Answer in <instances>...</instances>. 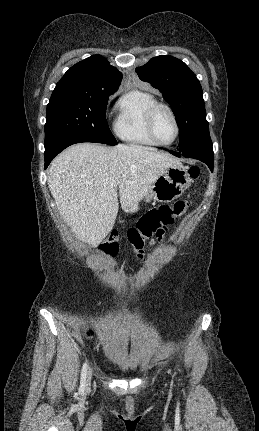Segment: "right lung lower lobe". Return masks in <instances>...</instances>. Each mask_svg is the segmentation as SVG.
Masks as SVG:
<instances>
[{
  "label": "right lung lower lobe",
  "mask_w": 259,
  "mask_h": 431,
  "mask_svg": "<svg viewBox=\"0 0 259 431\" xmlns=\"http://www.w3.org/2000/svg\"><path fill=\"white\" fill-rule=\"evenodd\" d=\"M81 142H91L90 140L78 137V136H69V137H62L59 138L53 142H51L48 145H45V169L48 167L52 159L58 155L62 150L67 148L68 146L76 143Z\"/></svg>",
  "instance_id": "obj_1"
}]
</instances>
